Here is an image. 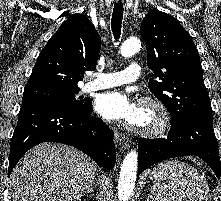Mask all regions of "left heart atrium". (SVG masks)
Listing matches in <instances>:
<instances>
[{"label":"left heart atrium","mask_w":221,"mask_h":201,"mask_svg":"<svg viewBox=\"0 0 221 201\" xmlns=\"http://www.w3.org/2000/svg\"><path fill=\"white\" fill-rule=\"evenodd\" d=\"M96 111L108 120H123L132 123L139 108L129 96L120 90L101 94L95 104Z\"/></svg>","instance_id":"39dd6f15"}]
</instances>
